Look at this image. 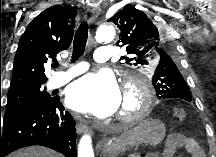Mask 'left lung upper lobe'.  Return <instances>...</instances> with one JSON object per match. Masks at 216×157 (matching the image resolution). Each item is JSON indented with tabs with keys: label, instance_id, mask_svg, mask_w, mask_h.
Segmentation results:
<instances>
[{
	"label": "left lung upper lobe",
	"instance_id": "1",
	"mask_svg": "<svg viewBox=\"0 0 216 157\" xmlns=\"http://www.w3.org/2000/svg\"><path fill=\"white\" fill-rule=\"evenodd\" d=\"M109 21L119 29L117 46H125L129 54L122 57L129 65L153 69L152 84L162 100L180 99L191 102L190 89L181 74L175 39L166 35V27H160L157 19H149L144 12L126 5Z\"/></svg>",
	"mask_w": 216,
	"mask_h": 157
}]
</instances>
